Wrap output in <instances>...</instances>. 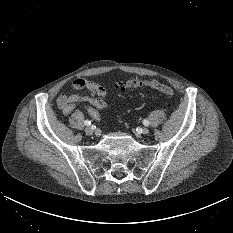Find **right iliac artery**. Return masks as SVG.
Masks as SVG:
<instances>
[{
  "label": "right iliac artery",
  "instance_id": "obj_1",
  "mask_svg": "<svg viewBox=\"0 0 233 233\" xmlns=\"http://www.w3.org/2000/svg\"><path fill=\"white\" fill-rule=\"evenodd\" d=\"M84 123H85V125H87V126H88V125H90V124H91V121H89V120H85V121H84Z\"/></svg>",
  "mask_w": 233,
  "mask_h": 233
}]
</instances>
